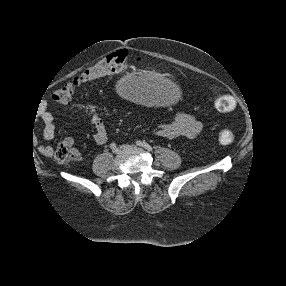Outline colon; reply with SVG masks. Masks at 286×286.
I'll list each match as a JSON object with an SVG mask.
<instances>
[{
    "instance_id": "1",
    "label": "colon",
    "mask_w": 286,
    "mask_h": 286,
    "mask_svg": "<svg viewBox=\"0 0 286 286\" xmlns=\"http://www.w3.org/2000/svg\"><path fill=\"white\" fill-rule=\"evenodd\" d=\"M128 67L129 58L126 50L112 52L86 69L80 76L57 89L52 95V100L60 105L68 104L72 100L76 90L83 84L107 75L121 74ZM235 107L236 101L230 95H223L215 100V108L219 112H232ZM235 138V132L230 128H222L217 133L218 142L224 146L231 145L235 141ZM53 156L58 162L63 163L72 159V152L64 144H60L55 148Z\"/></svg>"
}]
</instances>
